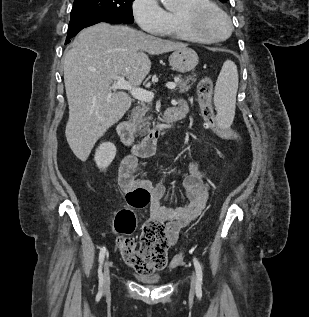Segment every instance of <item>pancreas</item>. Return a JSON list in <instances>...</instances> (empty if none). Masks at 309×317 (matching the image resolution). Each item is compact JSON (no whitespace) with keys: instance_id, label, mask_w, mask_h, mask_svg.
Masks as SVG:
<instances>
[{"instance_id":"pancreas-1","label":"pancreas","mask_w":309,"mask_h":317,"mask_svg":"<svg viewBox=\"0 0 309 317\" xmlns=\"http://www.w3.org/2000/svg\"><path fill=\"white\" fill-rule=\"evenodd\" d=\"M177 79L176 90H178L179 93L187 92L191 88L192 83L196 81L195 76H188L186 78L178 77ZM150 109L151 107L149 104L141 102L132 110L131 124L140 135L145 134L148 130L151 116H147V113Z\"/></svg>"}]
</instances>
